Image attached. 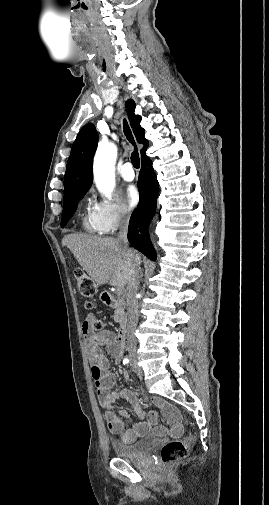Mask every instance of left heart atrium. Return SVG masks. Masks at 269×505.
I'll list each match as a JSON object with an SVG mask.
<instances>
[{
    "mask_svg": "<svg viewBox=\"0 0 269 505\" xmlns=\"http://www.w3.org/2000/svg\"><path fill=\"white\" fill-rule=\"evenodd\" d=\"M125 199L130 208L135 207L139 202L138 189L133 185L128 186L125 191Z\"/></svg>",
    "mask_w": 269,
    "mask_h": 505,
    "instance_id": "1",
    "label": "left heart atrium"
}]
</instances>
